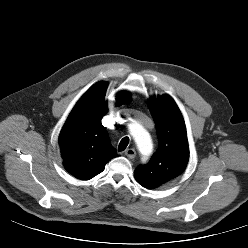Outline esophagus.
<instances>
[{
    "mask_svg": "<svg viewBox=\"0 0 248 248\" xmlns=\"http://www.w3.org/2000/svg\"><path fill=\"white\" fill-rule=\"evenodd\" d=\"M125 155L128 158L133 159L136 156V151L133 148H129L125 151Z\"/></svg>",
    "mask_w": 248,
    "mask_h": 248,
    "instance_id": "obj_1",
    "label": "esophagus"
}]
</instances>
